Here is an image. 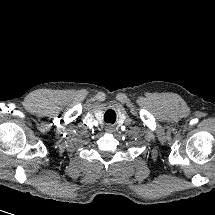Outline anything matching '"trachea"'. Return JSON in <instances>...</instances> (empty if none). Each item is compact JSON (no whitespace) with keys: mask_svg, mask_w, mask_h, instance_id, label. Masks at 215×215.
I'll return each mask as SVG.
<instances>
[{"mask_svg":"<svg viewBox=\"0 0 215 215\" xmlns=\"http://www.w3.org/2000/svg\"><path fill=\"white\" fill-rule=\"evenodd\" d=\"M115 119H116V115H115V112H114V111L108 110V111L105 113L104 120H105L106 122L114 123Z\"/></svg>","mask_w":215,"mask_h":215,"instance_id":"3493384b","label":"trachea"}]
</instances>
